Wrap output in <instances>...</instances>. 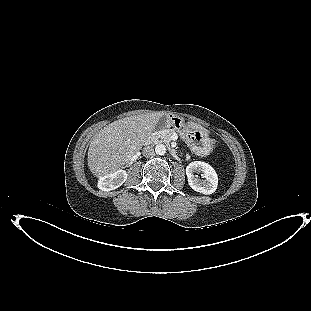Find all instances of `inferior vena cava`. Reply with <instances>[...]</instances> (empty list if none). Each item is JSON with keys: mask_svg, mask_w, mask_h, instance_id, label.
Listing matches in <instances>:
<instances>
[{"mask_svg": "<svg viewBox=\"0 0 311 311\" xmlns=\"http://www.w3.org/2000/svg\"><path fill=\"white\" fill-rule=\"evenodd\" d=\"M143 155H144L145 157H151V156H153V155H154V148H153V146H152V145L145 146V147L143 148Z\"/></svg>", "mask_w": 311, "mask_h": 311, "instance_id": "602c4592", "label": "inferior vena cava"}]
</instances>
